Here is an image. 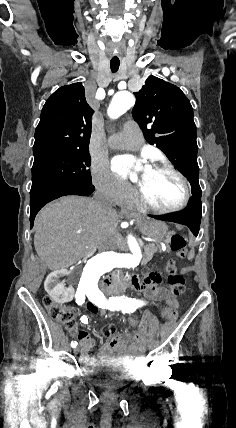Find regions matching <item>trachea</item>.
<instances>
[{"mask_svg": "<svg viewBox=\"0 0 236 428\" xmlns=\"http://www.w3.org/2000/svg\"><path fill=\"white\" fill-rule=\"evenodd\" d=\"M110 68L113 73L117 72L120 65V55L118 51H111L109 55Z\"/></svg>", "mask_w": 236, "mask_h": 428, "instance_id": "3493384b", "label": "trachea"}]
</instances>
